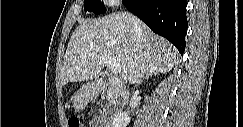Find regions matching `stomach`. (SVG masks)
I'll list each match as a JSON object with an SVG mask.
<instances>
[{"label": "stomach", "mask_w": 243, "mask_h": 127, "mask_svg": "<svg viewBox=\"0 0 243 127\" xmlns=\"http://www.w3.org/2000/svg\"><path fill=\"white\" fill-rule=\"evenodd\" d=\"M96 92L97 89L94 84H86L71 96L70 102L76 110H82L85 108L88 100L94 96Z\"/></svg>", "instance_id": "1"}]
</instances>
